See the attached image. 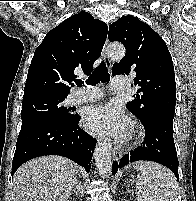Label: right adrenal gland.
<instances>
[{
	"mask_svg": "<svg viewBox=\"0 0 196 201\" xmlns=\"http://www.w3.org/2000/svg\"><path fill=\"white\" fill-rule=\"evenodd\" d=\"M76 194V196L78 197H80L81 195H82V193H83V188H82V186H81V182L80 181H78V180H76V182H75V186H74V188L71 190V193H70V195H72V194Z\"/></svg>",
	"mask_w": 196,
	"mask_h": 201,
	"instance_id": "right-adrenal-gland-1",
	"label": "right adrenal gland"
}]
</instances>
